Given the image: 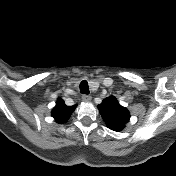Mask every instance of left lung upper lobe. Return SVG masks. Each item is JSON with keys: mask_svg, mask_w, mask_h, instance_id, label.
Here are the masks:
<instances>
[{"mask_svg": "<svg viewBox=\"0 0 176 176\" xmlns=\"http://www.w3.org/2000/svg\"><path fill=\"white\" fill-rule=\"evenodd\" d=\"M98 109L108 128L114 131H121L130 119L128 110L113 96L105 98Z\"/></svg>", "mask_w": 176, "mask_h": 176, "instance_id": "1", "label": "left lung upper lobe"}]
</instances>
